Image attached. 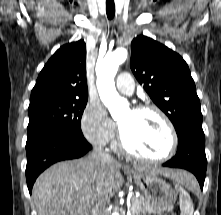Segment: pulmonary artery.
Wrapping results in <instances>:
<instances>
[{
  "label": "pulmonary artery",
  "mask_w": 221,
  "mask_h": 215,
  "mask_svg": "<svg viewBox=\"0 0 221 215\" xmlns=\"http://www.w3.org/2000/svg\"><path fill=\"white\" fill-rule=\"evenodd\" d=\"M116 88L123 94L131 95L134 92L132 76L127 72L120 73L116 79Z\"/></svg>",
  "instance_id": "1"
}]
</instances>
